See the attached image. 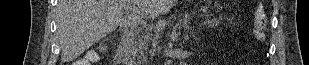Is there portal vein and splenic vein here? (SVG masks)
Instances as JSON below:
<instances>
[{"label":"portal vein and splenic vein","mask_w":309,"mask_h":65,"mask_svg":"<svg viewBox=\"0 0 309 65\" xmlns=\"http://www.w3.org/2000/svg\"><path fill=\"white\" fill-rule=\"evenodd\" d=\"M133 11L136 12V13H140L139 9L136 8V7L133 8Z\"/></svg>","instance_id":"1"}]
</instances>
